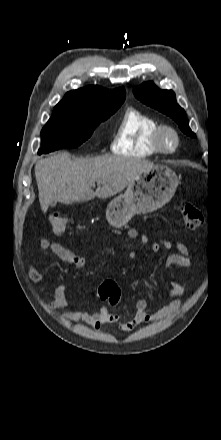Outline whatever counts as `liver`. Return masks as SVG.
<instances>
[{
	"mask_svg": "<svg viewBox=\"0 0 221 440\" xmlns=\"http://www.w3.org/2000/svg\"><path fill=\"white\" fill-rule=\"evenodd\" d=\"M153 166L143 159L117 156L73 161L67 152L41 159L35 165L41 209L46 213L53 201L71 204L111 197ZM95 182L102 186L94 192Z\"/></svg>",
	"mask_w": 221,
	"mask_h": 440,
	"instance_id": "6515ba94",
	"label": "liver"
}]
</instances>
